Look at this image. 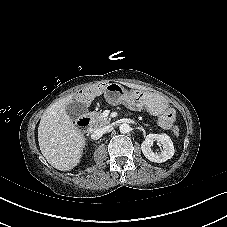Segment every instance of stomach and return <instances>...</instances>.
<instances>
[{"mask_svg":"<svg viewBox=\"0 0 227 227\" xmlns=\"http://www.w3.org/2000/svg\"><path fill=\"white\" fill-rule=\"evenodd\" d=\"M105 94L107 101L111 104L145 108L152 114H162L169 106L167 99L160 94L139 89L127 91L119 84H108Z\"/></svg>","mask_w":227,"mask_h":227,"instance_id":"stomach-1","label":"stomach"}]
</instances>
